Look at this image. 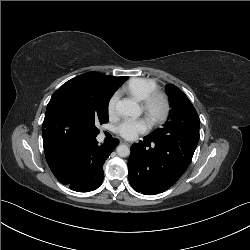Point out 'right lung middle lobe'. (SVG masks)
<instances>
[{
  "instance_id": "right-lung-middle-lobe-1",
  "label": "right lung middle lobe",
  "mask_w": 250,
  "mask_h": 250,
  "mask_svg": "<svg viewBox=\"0 0 250 250\" xmlns=\"http://www.w3.org/2000/svg\"><path fill=\"white\" fill-rule=\"evenodd\" d=\"M118 85L96 72L79 75L64 83L48 103L43 130L60 142L94 138L96 125L108 122V103Z\"/></svg>"
}]
</instances>
